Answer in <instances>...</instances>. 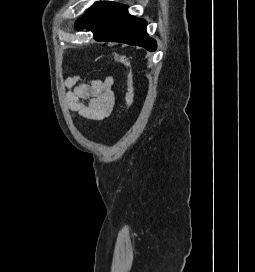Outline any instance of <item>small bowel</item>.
I'll use <instances>...</instances> for the list:
<instances>
[{"label": "small bowel", "mask_w": 255, "mask_h": 272, "mask_svg": "<svg viewBox=\"0 0 255 272\" xmlns=\"http://www.w3.org/2000/svg\"><path fill=\"white\" fill-rule=\"evenodd\" d=\"M114 77L86 79L72 76L65 82L66 104L70 114L90 120H102L110 115L115 104Z\"/></svg>", "instance_id": "obj_1"}]
</instances>
